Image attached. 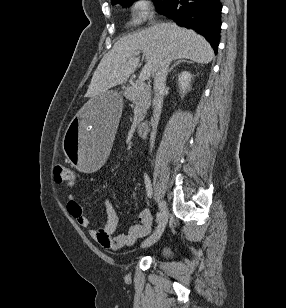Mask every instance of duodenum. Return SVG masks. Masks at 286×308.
<instances>
[{
  "instance_id": "obj_1",
  "label": "duodenum",
  "mask_w": 286,
  "mask_h": 308,
  "mask_svg": "<svg viewBox=\"0 0 286 308\" xmlns=\"http://www.w3.org/2000/svg\"><path fill=\"white\" fill-rule=\"evenodd\" d=\"M149 130V123L147 121H143L137 126V134L140 137H145Z\"/></svg>"
}]
</instances>
